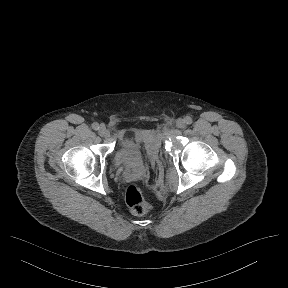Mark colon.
I'll return each mask as SVG.
<instances>
[{"label":"colon","mask_w":288,"mask_h":288,"mask_svg":"<svg viewBox=\"0 0 288 288\" xmlns=\"http://www.w3.org/2000/svg\"><path fill=\"white\" fill-rule=\"evenodd\" d=\"M126 203L129 209L136 215H145L150 208L142 188L137 184H131L127 188Z\"/></svg>","instance_id":"5ec220e1"}]
</instances>
